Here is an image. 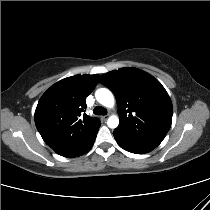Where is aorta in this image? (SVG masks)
<instances>
[{"mask_svg":"<svg viewBox=\"0 0 210 210\" xmlns=\"http://www.w3.org/2000/svg\"><path fill=\"white\" fill-rule=\"evenodd\" d=\"M96 100L105 107H114L115 100L112 92L107 88H100L95 92ZM109 128H117L119 125V118L116 115H112L107 121Z\"/></svg>","mask_w":210,"mask_h":210,"instance_id":"1","label":"aorta"}]
</instances>
